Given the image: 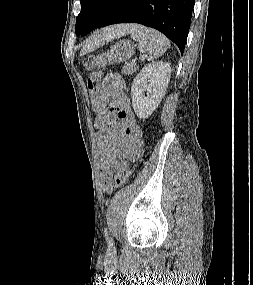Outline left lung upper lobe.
Wrapping results in <instances>:
<instances>
[{
    "label": "left lung upper lobe",
    "mask_w": 253,
    "mask_h": 285,
    "mask_svg": "<svg viewBox=\"0 0 253 285\" xmlns=\"http://www.w3.org/2000/svg\"><path fill=\"white\" fill-rule=\"evenodd\" d=\"M111 1L80 0L81 12L76 19V35L83 36L95 29L104 20L115 0Z\"/></svg>",
    "instance_id": "left-lung-upper-lobe-1"
}]
</instances>
